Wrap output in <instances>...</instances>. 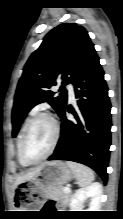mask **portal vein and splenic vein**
<instances>
[{
	"instance_id": "portal-vein-and-splenic-vein-1",
	"label": "portal vein and splenic vein",
	"mask_w": 123,
	"mask_h": 219,
	"mask_svg": "<svg viewBox=\"0 0 123 219\" xmlns=\"http://www.w3.org/2000/svg\"><path fill=\"white\" fill-rule=\"evenodd\" d=\"M64 192H65V193H70V192H71V190H70V188H69V187H65V188H64Z\"/></svg>"
}]
</instances>
